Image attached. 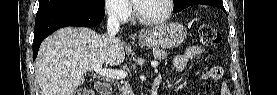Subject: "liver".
<instances>
[{
    "instance_id": "1",
    "label": "liver",
    "mask_w": 277,
    "mask_h": 95,
    "mask_svg": "<svg viewBox=\"0 0 277 95\" xmlns=\"http://www.w3.org/2000/svg\"><path fill=\"white\" fill-rule=\"evenodd\" d=\"M125 50L119 39L89 28L65 27L47 37L35 61V77L42 95H73L84 75L97 64L120 65Z\"/></svg>"
}]
</instances>
